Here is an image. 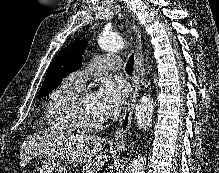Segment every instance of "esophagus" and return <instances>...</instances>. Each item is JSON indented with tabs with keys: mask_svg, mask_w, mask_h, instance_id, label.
Wrapping results in <instances>:
<instances>
[{
	"mask_svg": "<svg viewBox=\"0 0 219 173\" xmlns=\"http://www.w3.org/2000/svg\"><path fill=\"white\" fill-rule=\"evenodd\" d=\"M133 25L136 35V57H135V75L133 80V91L130 96V100L128 101L127 106L124 110L122 119L114 134L113 142L117 146H124L126 142L127 133L131 127L136 98L143 84L144 74H145L144 54L142 51L140 30L138 27L135 26L134 21H133Z\"/></svg>",
	"mask_w": 219,
	"mask_h": 173,
	"instance_id": "esophagus-1",
	"label": "esophagus"
}]
</instances>
